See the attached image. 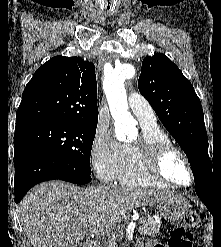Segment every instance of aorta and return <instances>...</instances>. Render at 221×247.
<instances>
[{
    "label": "aorta",
    "mask_w": 221,
    "mask_h": 247,
    "mask_svg": "<svg viewBox=\"0 0 221 247\" xmlns=\"http://www.w3.org/2000/svg\"><path fill=\"white\" fill-rule=\"evenodd\" d=\"M135 69L125 64L105 75L103 89L107 97L111 115L115 120V133L119 141H126L136 136L137 122L128 112L127 95L124 87L126 76L132 77Z\"/></svg>",
    "instance_id": "762f6f07"
}]
</instances>
